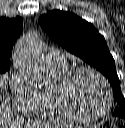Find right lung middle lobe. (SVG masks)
Here are the masks:
<instances>
[{
  "label": "right lung middle lobe",
  "mask_w": 125,
  "mask_h": 128,
  "mask_svg": "<svg viewBox=\"0 0 125 128\" xmlns=\"http://www.w3.org/2000/svg\"><path fill=\"white\" fill-rule=\"evenodd\" d=\"M10 69V63L9 62H0V73H5Z\"/></svg>",
  "instance_id": "right-lung-middle-lobe-1"
}]
</instances>
